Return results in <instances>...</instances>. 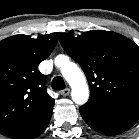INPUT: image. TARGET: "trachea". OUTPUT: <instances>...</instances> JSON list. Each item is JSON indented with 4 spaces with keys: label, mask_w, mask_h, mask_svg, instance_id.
Here are the masks:
<instances>
[{
    "label": "trachea",
    "mask_w": 139,
    "mask_h": 139,
    "mask_svg": "<svg viewBox=\"0 0 139 139\" xmlns=\"http://www.w3.org/2000/svg\"><path fill=\"white\" fill-rule=\"evenodd\" d=\"M51 86L54 90H63L65 88V82L62 77L57 76L52 80Z\"/></svg>",
    "instance_id": "trachea-1"
}]
</instances>
